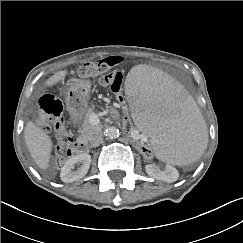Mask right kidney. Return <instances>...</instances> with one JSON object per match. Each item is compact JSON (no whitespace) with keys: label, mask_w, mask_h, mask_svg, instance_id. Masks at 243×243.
<instances>
[{"label":"right kidney","mask_w":243,"mask_h":243,"mask_svg":"<svg viewBox=\"0 0 243 243\" xmlns=\"http://www.w3.org/2000/svg\"><path fill=\"white\" fill-rule=\"evenodd\" d=\"M91 156L87 153L78 154L68 159L61 169L60 178L65 183H71L83 178L90 167ZM76 164H82L73 170Z\"/></svg>","instance_id":"ca27d5eb"}]
</instances>
